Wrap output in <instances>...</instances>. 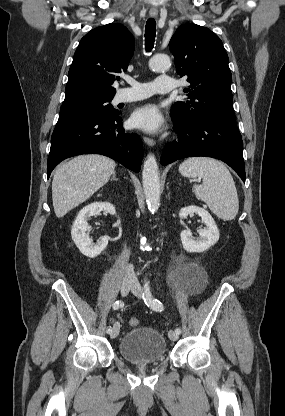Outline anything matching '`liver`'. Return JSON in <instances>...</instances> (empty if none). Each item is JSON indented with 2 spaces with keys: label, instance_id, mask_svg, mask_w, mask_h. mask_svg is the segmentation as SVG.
Segmentation results:
<instances>
[{
  "label": "liver",
  "instance_id": "6515ba94",
  "mask_svg": "<svg viewBox=\"0 0 285 416\" xmlns=\"http://www.w3.org/2000/svg\"><path fill=\"white\" fill-rule=\"evenodd\" d=\"M115 162L105 156H77L56 170L52 182L53 208L57 218L89 200L114 174Z\"/></svg>",
  "mask_w": 285,
  "mask_h": 416
}]
</instances>
